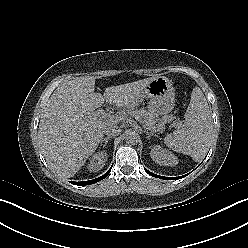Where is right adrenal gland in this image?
Segmentation results:
<instances>
[{"label": "right adrenal gland", "mask_w": 248, "mask_h": 248, "mask_svg": "<svg viewBox=\"0 0 248 248\" xmlns=\"http://www.w3.org/2000/svg\"><path fill=\"white\" fill-rule=\"evenodd\" d=\"M112 137H105V138H102L101 139V142H100V146L103 144V147H105L106 145H107V143H108V141L111 139Z\"/></svg>", "instance_id": "obj_1"}]
</instances>
